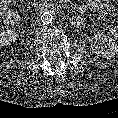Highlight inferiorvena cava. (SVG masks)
<instances>
[{"label":"inferior vena cava","mask_w":118,"mask_h":118,"mask_svg":"<svg viewBox=\"0 0 118 118\" xmlns=\"http://www.w3.org/2000/svg\"><path fill=\"white\" fill-rule=\"evenodd\" d=\"M35 23H36V25H41V21H40L39 19H37V20L35 21Z\"/></svg>","instance_id":"obj_1"}]
</instances>
